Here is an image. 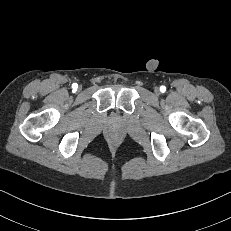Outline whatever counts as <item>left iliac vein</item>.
<instances>
[{"mask_svg": "<svg viewBox=\"0 0 231 231\" xmlns=\"http://www.w3.org/2000/svg\"><path fill=\"white\" fill-rule=\"evenodd\" d=\"M154 92L158 95L160 93L159 88H155Z\"/></svg>", "mask_w": 231, "mask_h": 231, "instance_id": "4c4485c4", "label": "left iliac vein"}]
</instances>
